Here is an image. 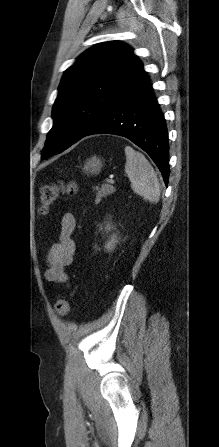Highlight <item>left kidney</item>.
<instances>
[{"mask_svg": "<svg viewBox=\"0 0 219 447\" xmlns=\"http://www.w3.org/2000/svg\"><path fill=\"white\" fill-rule=\"evenodd\" d=\"M111 228H112V227H111L110 225H107V226H106V230H110ZM116 238H117L116 235H113V236L111 237V240H109V241L107 242V244L105 245V248H106L107 250H111V249H113L115 243L117 242Z\"/></svg>", "mask_w": 219, "mask_h": 447, "instance_id": "left-kidney-1", "label": "left kidney"}]
</instances>
